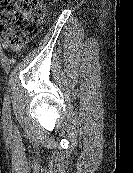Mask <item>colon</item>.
Here are the masks:
<instances>
[{"mask_svg": "<svg viewBox=\"0 0 133 173\" xmlns=\"http://www.w3.org/2000/svg\"><path fill=\"white\" fill-rule=\"evenodd\" d=\"M45 14L44 0H0V28L6 46L17 49L37 36Z\"/></svg>", "mask_w": 133, "mask_h": 173, "instance_id": "colon-1", "label": "colon"}]
</instances>
